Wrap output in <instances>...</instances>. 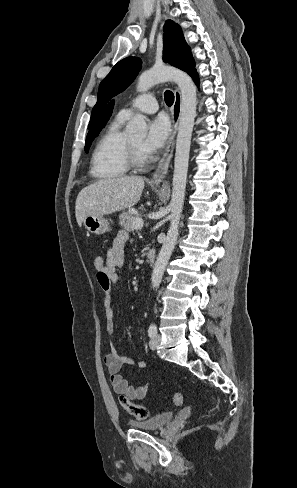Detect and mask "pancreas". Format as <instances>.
Segmentation results:
<instances>
[{
  "instance_id": "cf45deb5",
  "label": "pancreas",
  "mask_w": 297,
  "mask_h": 488,
  "mask_svg": "<svg viewBox=\"0 0 297 488\" xmlns=\"http://www.w3.org/2000/svg\"><path fill=\"white\" fill-rule=\"evenodd\" d=\"M137 217L138 216H135L133 210L124 211L119 215V223L124 229L133 231L135 227L133 226L132 221Z\"/></svg>"
}]
</instances>
